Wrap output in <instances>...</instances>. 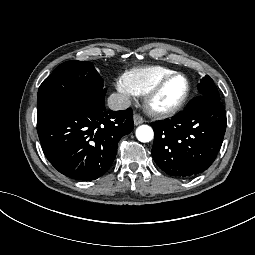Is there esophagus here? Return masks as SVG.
<instances>
[{"mask_svg":"<svg viewBox=\"0 0 255 255\" xmlns=\"http://www.w3.org/2000/svg\"><path fill=\"white\" fill-rule=\"evenodd\" d=\"M143 122H144V120L141 116H139L138 114H134V124L135 125H139Z\"/></svg>","mask_w":255,"mask_h":255,"instance_id":"34e87169","label":"esophagus"}]
</instances>
